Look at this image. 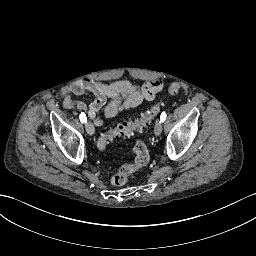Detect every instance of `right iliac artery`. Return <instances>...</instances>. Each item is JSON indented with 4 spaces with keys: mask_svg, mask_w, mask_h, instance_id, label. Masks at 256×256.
<instances>
[{
    "mask_svg": "<svg viewBox=\"0 0 256 256\" xmlns=\"http://www.w3.org/2000/svg\"><path fill=\"white\" fill-rule=\"evenodd\" d=\"M79 118H80V121L82 123H86L87 122V117H86L85 113H81Z\"/></svg>",
    "mask_w": 256,
    "mask_h": 256,
    "instance_id": "right-iliac-artery-1",
    "label": "right iliac artery"
}]
</instances>
